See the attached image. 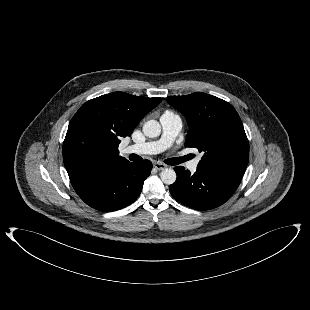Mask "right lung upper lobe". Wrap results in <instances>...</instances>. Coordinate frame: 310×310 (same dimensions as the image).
<instances>
[{"label": "right lung upper lobe", "instance_id": "cb5924a9", "mask_svg": "<svg viewBox=\"0 0 310 310\" xmlns=\"http://www.w3.org/2000/svg\"><path fill=\"white\" fill-rule=\"evenodd\" d=\"M161 100L113 92L83 104L72 118L63 143L69 177L127 162L119 155L120 140L131 136L140 120Z\"/></svg>", "mask_w": 310, "mask_h": 310}]
</instances>
